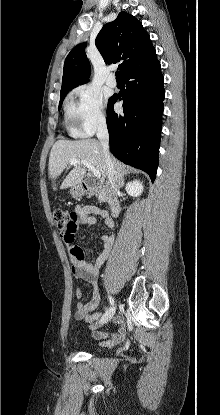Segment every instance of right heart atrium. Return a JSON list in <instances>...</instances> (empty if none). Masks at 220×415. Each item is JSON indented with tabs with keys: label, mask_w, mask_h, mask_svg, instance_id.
Wrapping results in <instances>:
<instances>
[{
	"label": "right heart atrium",
	"mask_w": 220,
	"mask_h": 415,
	"mask_svg": "<svg viewBox=\"0 0 220 415\" xmlns=\"http://www.w3.org/2000/svg\"><path fill=\"white\" fill-rule=\"evenodd\" d=\"M67 116L73 133L78 136H90L106 126L102 98L88 86L75 90L74 98L67 106Z\"/></svg>",
	"instance_id": "1"
}]
</instances>
